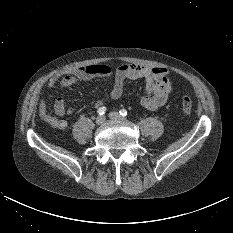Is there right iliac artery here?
I'll list each match as a JSON object with an SVG mask.
<instances>
[{
    "mask_svg": "<svg viewBox=\"0 0 233 233\" xmlns=\"http://www.w3.org/2000/svg\"><path fill=\"white\" fill-rule=\"evenodd\" d=\"M105 112H106V107H101V108H99V109L97 110V113H98L99 115H103Z\"/></svg>",
    "mask_w": 233,
    "mask_h": 233,
    "instance_id": "82829eb1",
    "label": "right iliac artery"
}]
</instances>
